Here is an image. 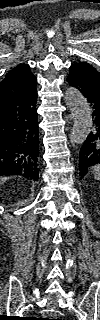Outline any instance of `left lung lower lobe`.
Listing matches in <instances>:
<instances>
[{
    "instance_id": "obj_1",
    "label": "left lung lower lobe",
    "mask_w": 100,
    "mask_h": 320,
    "mask_svg": "<svg viewBox=\"0 0 100 320\" xmlns=\"http://www.w3.org/2000/svg\"><path fill=\"white\" fill-rule=\"evenodd\" d=\"M67 82L79 90L92 108L93 125L79 154L80 176L87 174L89 167L100 165V89L76 73H69Z\"/></svg>"
}]
</instances>
